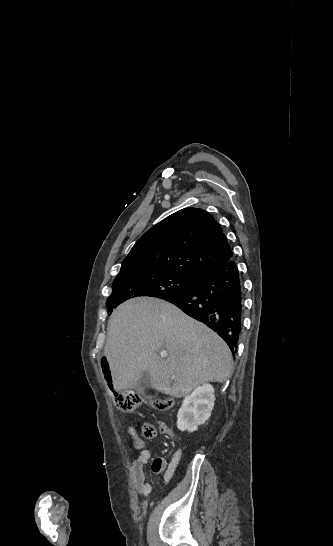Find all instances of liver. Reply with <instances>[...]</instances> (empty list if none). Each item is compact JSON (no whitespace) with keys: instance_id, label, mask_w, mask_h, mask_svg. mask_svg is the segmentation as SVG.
<instances>
[{"instance_id":"6515ba94","label":"liver","mask_w":333,"mask_h":546,"mask_svg":"<svg viewBox=\"0 0 333 546\" xmlns=\"http://www.w3.org/2000/svg\"><path fill=\"white\" fill-rule=\"evenodd\" d=\"M162 350L166 358L160 357ZM104 356L115 391L135 389L147 372L151 387L181 398L201 384L223 383L232 375V354L223 339L155 298H134L117 307Z\"/></svg>"}]
</instances>
